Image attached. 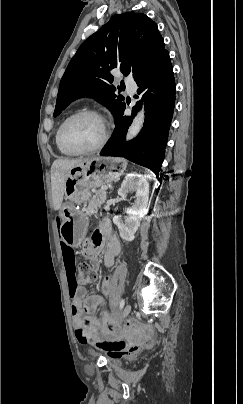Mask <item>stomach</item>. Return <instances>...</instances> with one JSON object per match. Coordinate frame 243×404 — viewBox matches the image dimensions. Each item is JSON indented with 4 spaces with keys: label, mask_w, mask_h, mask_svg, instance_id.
Wrapping results in <instances>:
<instances>
[{
    "label": "stomach",
    "mask_w": 243,
    "mask_h": 404,
    "mask_svg": "<svg viewBox=\"0 0 243 404\" xmlns=\"http://www.w3.org/2000/svg\"><path fill=\"white\" fill-rule=\"evenodd\" d=\"M126 168L124 159L96 156L67 171L64 194L68 202L61 207V236L68 246H79L88 227V215L75 205L89 201L90 189L117 180Z\"/></svg>",
    "instance_id": "stomach-1"
}]
</instances>
